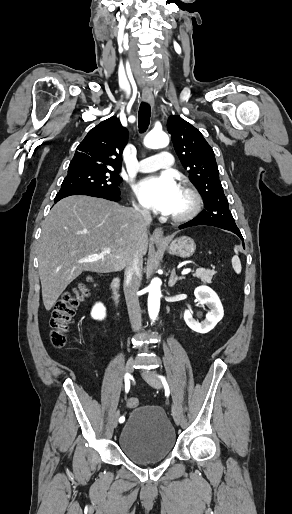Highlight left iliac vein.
Returning a JSON list of instances; mask_svg holds the SVG:
<instances>
[{"instance_id":"obj_1","label":"left iliac vein","mask_w":292,"mask_h":514,"mask_svg":"<svg viewBox=\"0 0 292 514\" xmlns=\"http://www.w3.org/2000/svg\"><path fill=\"white\" fill-rule=\"evenodd\" d=\"M141 374H142V377L144 378V380L153 388L160 389L162 387V383H161L160 379L155 375L154 372L149 371V370H144V371H142ZM172 416H173L175 423L177 425H179L180 424V416H179L176 406H172Z\"/></svg>"}]
</instances>
